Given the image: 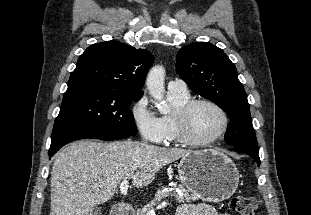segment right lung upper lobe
<instances>
[{
  "label": "right lung upper lobe",
  "mask_w": 311,
  "mask_h": 215,
  "mask_svg": "<svg viewBox=\"0 0 311 215\" xmlns=\"http://www.w3.org/2000/svg\"><path fill=\"white\" fill-rule=\"evenodd\" d=\"M153 61V55L145 49H136L115 40L96 43L78 59L68 87L91 85L143 94L140 89Z\"/></svg>",
  "instance_id": "right-lung-upper-lobe-1"
}]
</instances>
